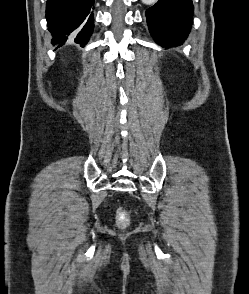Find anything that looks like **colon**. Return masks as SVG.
<instances>
[{"label":"colon","instance_id":"obj_1","mask_svg":"<svg viewBox=\"0 0 249 294\" xmlns=\"http://www.w3.org/2000/svg\"><path fill=\"white\" fill-rule=\"evenodd\" d=\"M120 222H121L122 224H124V223L126 222V217H125L124 214H121V216H120Z\"/></svg>","mask_w":249,"mask_h":294}]
</instances>
